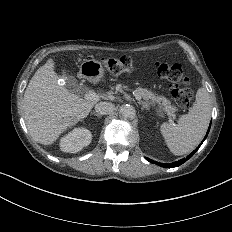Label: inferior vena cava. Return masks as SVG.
<instances>
[{
	"label": "inferior vena cava",
	"mask_w": 232,
	"mask_h": 232,
	"mask_svg": "<svg viewBox=\"0 0 232 232\" xmlns=\"http://www.w3.org/2000/svg\"><path fill=\"white\" fill-rule=\"evenodd\" d=\"M114 109V104L110 102H100L95 106V110L102 115L111 114Z\"/></svg>",
	"instance_id": "inferior-vena-cava-1"
}]
</instances>
